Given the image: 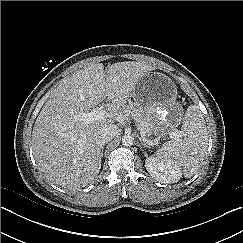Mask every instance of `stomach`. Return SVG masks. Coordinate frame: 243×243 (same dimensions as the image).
<instances>
[{
  "instance_id": "1",
  "label": "stomach",
  "mask_w": 243,
  "mask_h": 243,
  "mask_svg": "<svg viewBox=\"0 0 243 243\" xmlns=\"http://www.w3.org/2000/svg\"><path fill=\"white\" fill-rule=\"evenodd\" d=\"M175 83L167 75L148 71L132 92L135 105L151 124V133L157 138L170 137L183 120L184 110L177 100Z\"/></svg>"
}]
</instances>
